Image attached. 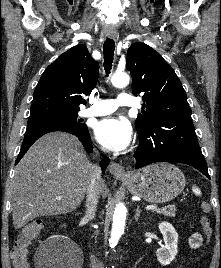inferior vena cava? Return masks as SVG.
<instances>
[{
    "mask_svg": "<svg viewBox=\"0 0 221 268\" xmlns=\"http://www.w3.org/2000/svg\"><path fill=\"white\" fill-rule=\"evenodd\" d=\"M101 169L99 165H93V175L91 183L87 189L86 196V217L92 219L95 216L97 202L100 197V185H101ZM92 268H97L94 256L91 255Z\"/></svg>",
    "mask_w": 221,
    "mask_h": 268,
    "instance_id": "obj_1",
    "label": "inferior vena cava"
}]
</instances>
